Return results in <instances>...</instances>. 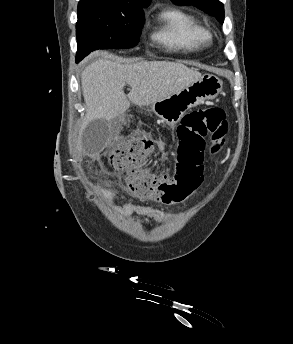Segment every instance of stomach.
I'll return each instance as SVG.
<instances>
[{
    "label": "stomach",
    "instance_id": "1",
    "mask_svg": "<svg viewBox=\"0 0 293 344\" xmlns=\"http://www.w3.org/2000/svg\"><path fill=\"white\" fill-rule=\"evenodd\" d=\"M222 86L223 82L217 76L204 74L179 93L153 103L152 110L163 122L174 126L187 110L217 97Z\"/></svg>",
    "mask_w": 293,
    "mask_h": 344
}]
</instances>
